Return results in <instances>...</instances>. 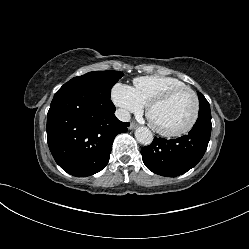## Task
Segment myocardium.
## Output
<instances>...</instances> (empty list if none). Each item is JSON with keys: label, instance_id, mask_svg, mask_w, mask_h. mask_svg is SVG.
<instances>
[{"label": "myocardium", "instance_id": "myocardium-1", "mask_svg": "<svg viewBox=\"0 0 249 249\" xmlns=\"http://www.w3.org/2000/svg\"><path fill=\"white\" fill-rule=\"evenodd\" d=\"M181 92H189L194 99V110H193V115L190 121L188 122L186 126L176 131H166V130L159 128L152 120L151 115H152L153 109L156 106L169 101L172 97H174L175 95ZM199 111H200V101H199V97L197 93L191 87H188L185 85V86L172 88L164 92L163 94L159 95L158 97L154 98L147 106V117L152 127L154 128V130L160 135L165 136V137H180V136L187 134L194 127L199 117Z\"/></svg>", "mask_w": 249, "mask_h": 249}]
</instances>
